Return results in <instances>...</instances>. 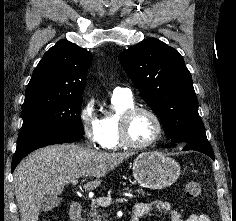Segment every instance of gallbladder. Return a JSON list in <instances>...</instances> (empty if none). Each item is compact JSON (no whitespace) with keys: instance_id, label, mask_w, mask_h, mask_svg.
I'll return each mask as SVG.
<instances>
[{"instance_id":"1","label":"gallbladder","mask_w":236,"mask_h":221,"mask_svg":"<svg viewBox=\"0 0 236 221\" xmlns=\"http://www.w3.org/2000/svg\"><path fill=\"white\" fill-rule=\"evenodd\" d=\"M61 199L57 196L47 195L41 200V210L44 212L56 208L60 204Z\"/></svg>"}]
</instances>
